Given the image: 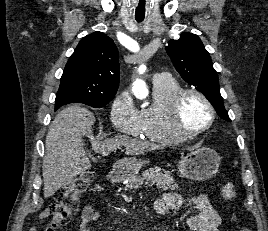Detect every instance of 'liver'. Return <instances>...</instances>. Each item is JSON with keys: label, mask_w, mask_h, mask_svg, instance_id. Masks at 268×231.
Here are the masks:
<instances>
[{"label": "liver", "mask_w": 268, "mask_h": 231, "mask_svg": "<svg viewBox=\"0 0 268 231\" xmlns=\"http://www.w3.org/2000/svg\"><path fill=\"white\" fill-rule=\"evenodd\" d=\"M94 123L93 113L80 105L64 108L51 122L46 135L42 165L45 198L53 196L57 190L69 185L77 175L91 168L84 150V137H88L93 149L103 156H108L122 146L128 155L157 148L152 143L127 136H115L104 141L95 139L92 132Z\"/></svg>", "instance_id": "liver-1"}]
</instances>
